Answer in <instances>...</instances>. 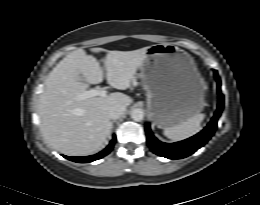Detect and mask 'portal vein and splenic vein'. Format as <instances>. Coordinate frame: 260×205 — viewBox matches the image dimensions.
Wrapping results in <instances>:
<instances>
[{
  "label": "portal vein and splenic vein",
  "mask_w": 260,
  "mask_h": 205,
  "mask_svg": "<svg viewBox=\"0 0 260 205\" xmlns=\"http://www.w3.org/2000/svg\"><path fill=\"white\" fill-rule=\"evenodd\" d=\"M106 95H107V91L105 89H92L78 95L76 99L84 100L86 98L95 97V96L105 97Z\"/></svg>",
  "instance_id": "1"
}]
</instances>
